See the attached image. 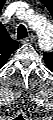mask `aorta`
I'll return each mask as SVG.
<instances>
[{
    "instance_id": "aorta-1",
    "label": "aorta",
    "mask_w": 53,
    "mask_h": 120,
    "mask_svg": "<svg viewBox=\"0 0 53 120\" xmlns=\"http://www.w3.org/2000/svg\"><path fill=\"white\" fill-rule=\"evenodd\" d=\"M31 27L37 32L39 45L45 49L52 43V27L49 21L40 16H33L29 20Z\"/></svg>"
}]
</instances>
